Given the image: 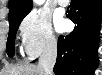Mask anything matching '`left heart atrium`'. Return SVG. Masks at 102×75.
Here are the masks:
<instances>
[{"label": "left heart atrium", "instance_id": "left-heart-atrium-1", "mask_svg": "<svg viewBox=\"0 0 102 75\" xmlns=\"http://www.w3.org/2000/svg\"><path fill=\"white\" fill-rule=\"evenodd\" d=\"M67 27V22L65 20H58L56 23V28L59 31L65 30Z\"/></svg>", "mask_w": 102, "mask_h": 75}]
</instances>
